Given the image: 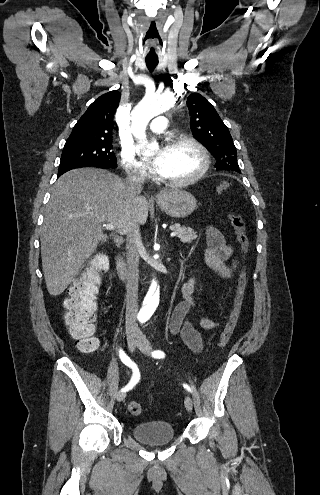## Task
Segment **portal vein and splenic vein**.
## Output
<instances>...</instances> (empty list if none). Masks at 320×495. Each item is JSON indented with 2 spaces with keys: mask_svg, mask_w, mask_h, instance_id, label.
Instances as JSON below:
<instances>
[{
  "mask_svg": "<svg viewBox=\"0 0 320 495\" xmlns=\"http://www.w3.org/2000/svg\"><path fill=\"white\" fill-rule=\"evenodd\" d=\"M105 227H106V229H110V230L114 229V226H113L112 224H108V225H106ZM176 235H177V233H176V232H172V233L170 234V236H171V237H174V236H176Z\"/></svg>",
  "mask_w": 320,
  "mask_h": 495,
  "instance_id": "portal-vein-and-splenic-vein-1",
  "label": "portal vein and splenic vein"
}]
</instances>
